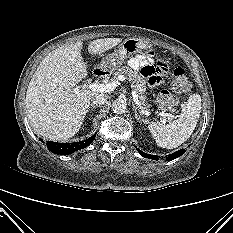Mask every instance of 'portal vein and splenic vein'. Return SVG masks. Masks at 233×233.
I'll list each match as a JSON object with an SVG mask.
<instances>
[{
  "label": "portal vein and splenic vein",
  "mask_w": 233,
  "mask_h": 233,
  "mask_svg": "<svg viewBox=\"0 0 233 233\" xmlns=\"http://www.w3.org/2000/svg\"><path fill=\"white\" fill-rule=\"evenodd\" d=\"M126 80V77L124 75H120L117 80H114L108 84H96V83H92V84H89V89L91 91H94V92H111L113 91L118 85H120V82ZM132 96H133V100L135 102V104L137 105V107L140 109V111L149 116L150 115V112L147 111L140 103L139 101V98H138V95L136 93V90H132ZM159 115L162 116L163 118L165 119H173L174 116L170 113H165V112H159Z\"/></svg>",
  "instance_id": "18ae733b"
}]
</instances>
